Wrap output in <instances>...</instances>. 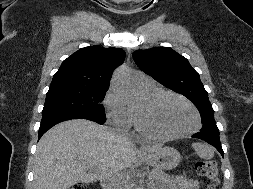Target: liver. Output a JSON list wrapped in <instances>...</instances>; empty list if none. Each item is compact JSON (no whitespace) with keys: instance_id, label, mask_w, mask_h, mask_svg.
I'll list each match as a JSON object with an SVG mask.
<instances>
[{"instance_id":"obj_1","label":"liver","mask_w":253,"mask_h":189,"mask_svg":"<svg viewBox=\"0 0 253 189\" xmlns=\"http://www.w3.org/2000/svg\"><path fill=\"white\" fill-rule=\"evenodd\" d=\"M160 149L152 146L144 152L151 154ZM135 161L136 151L126 138L89 120L65 121L38 142L34 189H68L79 182L103 181L114 172L127 173Z\"/></svg>"}]
</instances>
